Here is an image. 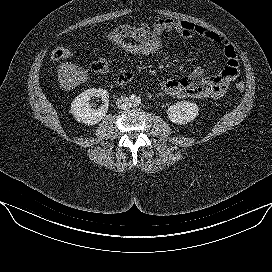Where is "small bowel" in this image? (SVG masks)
Returning a JSON list of instances; mask_svg holds the SVG:
<instances>
[{"instance_id": "1", "label": "small bowel", "mask_w": 272, "mask_h": 272, "mask_svg": "<svg viewBox=\"0 0 272 272\" xmlns=\"http://www.w3.org/2000/svg\"><path fill=\"white\" fill-rule=\"evenodd\" d=\"M112 31L138 39H162L165 32H174L183 39L197 35L221 48L226 65L216 75H207L201 66H196L190 76L160 82V89L170 97L216 100L226 93L230 82L238 77L239 62L234 47L225 37L204 26L165 18L157 20L152 26L142 21H134L133 24L118 25ZM124 77L130 79L131 74Z\"/></svg>"}]
</instances>
